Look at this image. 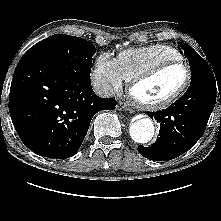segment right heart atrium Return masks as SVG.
Here are the masks:
<instances>
[{"label":"right heart atrium","instance_id":"right-heart-atrium-1","mask_svg":"<svg viewBox=\"0 0 221 221\" xmlns=\"http://www.w3.org/2000/svg\"><path fill=\"white\" fill-rule=\"evenodd\" d=\"M91 80L102 91L119 92L123 87V77L118 70L117 61L108 53H102L96 58Z\"/></svg>","mask_w":221,"mask_h":221}]
</instances>
